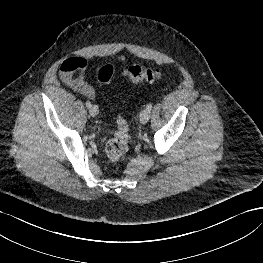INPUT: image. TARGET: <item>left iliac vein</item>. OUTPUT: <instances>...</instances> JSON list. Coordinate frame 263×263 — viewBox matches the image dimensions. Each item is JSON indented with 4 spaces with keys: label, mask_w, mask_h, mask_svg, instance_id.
<instances>
[{
    "label": "left iliac vein",
    "mask_w": 263,
    "mask_h": 263,
    "mask_svg": "<svg viewBox=\"0 0 263 263\" xmlns=\"http://www.w3.org/2000/svg\"><path fill=\"white\" fill-rule=\"evenodd\" d=\"M149 118H150V111L147 108L142 110L140 113V122L142 124H145L148 122Z\"/></svg>",
    "instance_id": "left-iliac-vein-1"
}]
</instances>
